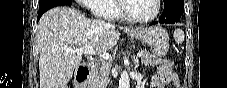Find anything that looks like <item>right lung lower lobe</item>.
<instances>
[{"label": "right lung lower lobe", "instance_id": "98d812e1", "mask_svg": "<svg viewBox=\"0 0 227 88\" xmlns=\"http://www.w3.org/2000/svg\"><path fill=\"white\" fill-rule=\"evenodd\" d=\"M47 10H39V14H38V17H37V21L40 19V17L42 16V14L44 12H46Z\"/></svg>", "mask_w": 227, "mask_h": 88}]
</instances>
